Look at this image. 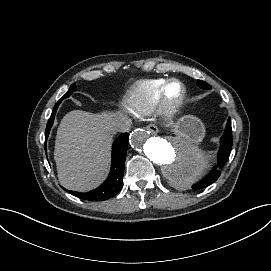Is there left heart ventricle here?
<instances>
[{
	"instance_id": "obj_1",
	"label": "left heart ventricle",
	"mask_w": 271,
	"mask_h": 271,
	"mask_svg": "<svg viewBox=\"0 0 271 271\" xmlns=\"http://www.w3.org/2000/svg\"><path fill=\"white\" fill-rule=\"evenodd\" d=\"M178 90H179V86H177V85L173 86V88H172L173 92H177Z\"/></svg>"
}]
</instances>
